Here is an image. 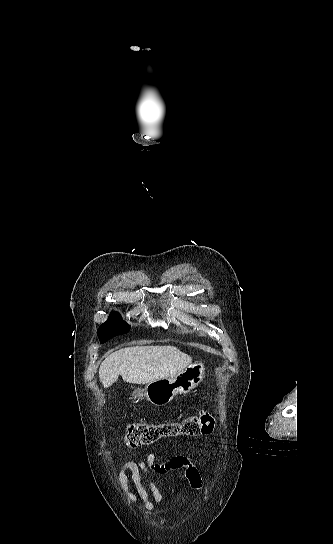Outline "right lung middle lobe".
Here are the masks:
<instances>
[{
  "instance_id": "1",
  "label": "right lung middle lobe",
  "mask_w": 333,
  "mask_h": 544,
  "mask_svg": "<svg viewBox=\"0 0 333 544\" xmlns=\"http://www.w3.org/2000/svg\"><path fill=\"white\" fill-rule=\"evenodd\" d=\"M130 325L122 320V317L117 312H112L108 320L103 323L97 330V335L101 343H105L110 338L122 335L130 330Z\"/></svg>"
}]
</instances>
